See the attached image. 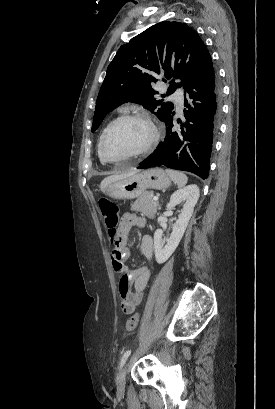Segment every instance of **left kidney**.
<instances>
[{
  "mask_svg": "<svg viewBox=\"0 0 275 409\" xmlns=\"http://www.w3.org/2000/svg\"><path fill=\"white\" fill-rule=\"evenodd\" d=\"M199 198V188L197 184H188L184 188H179L173 192L167 209H174L179 202H183V209L178 215L173 231L169 239H162L164 237L163 231L157 229L154 233V249H155V259L159 265L168 261L175 249H177L185 231L186 227L192 217L193 209ZM158 223H167L166 217H158ZM166 243V245H164Z\"/></svg>",
  "mask_w": 275,
  "mask_h": 409,
  "instance_id": "5707ae66",
  "label": "left kidney"
}]
</instances>
